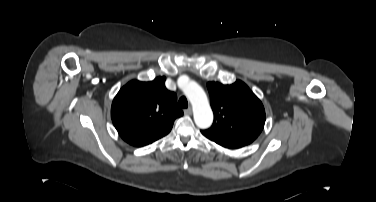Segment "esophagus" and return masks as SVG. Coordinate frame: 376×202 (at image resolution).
<instances>
[{"instance_id":"esophagus-1","label":"esophagus","mask_w":376,"mask_h":202,"mask_svg":"<svg viewBox=\"0 0 376 202\" xmlns=\"http://www.w3.org/2000/svg\"><path fill=\"white\" fill-rule=\"evenodd\" d=\"M184 114L185 115H191L192 114V109L191 108L185 109L184 110Z\"/></svg>"}]
</instances>
